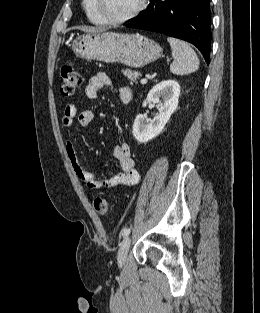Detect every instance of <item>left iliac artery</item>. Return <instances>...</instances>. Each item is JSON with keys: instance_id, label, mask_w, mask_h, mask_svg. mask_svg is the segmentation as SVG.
<instances>
[{"instance_id": "obj_1", "label": "left iliac artery", "mask_w": 260, "mask_h": 313, "mask_svg": "<svg viewBox=\"0 0 260 313\" xmlns=\"http://www.w3.org/2000/svg\"><path fill=\"white\" fill-rule=\"evenodd\" d=\"M130 231H131V228L124 229L123 232H122V236H123V237L128 236L129 233H130Z\"/></svg>"}]
</instances>
